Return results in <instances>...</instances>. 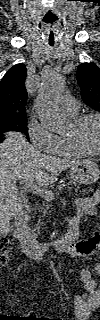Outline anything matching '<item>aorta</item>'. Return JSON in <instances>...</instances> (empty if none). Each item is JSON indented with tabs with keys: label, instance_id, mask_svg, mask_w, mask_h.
<instances>
[{
	"label": "aorta",
	"instance_id": "obj_1",
	"mask_svg": "<svg viewBox=\"0 0 100 320\" xmlns=\"http://www.w3.org/2000/svg\"><path fill=\"white\" fill-rule=\"evenodd\" d=\"M64 77L58 73L46 76L37 94V111L43 124L53 131H60L69 125L68 119L59 111L57 100L63 92ZM58 231H54L50 238H56Z\"/></svg>",
	"mask_w": 100,
	"mask_h": 320
}]
</instances>
